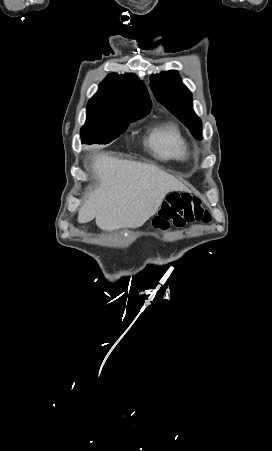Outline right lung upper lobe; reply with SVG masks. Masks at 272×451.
I'll list each match as a JSON object with an SVG mask.
<instances>
[{"instance_id": "cb5924a9", "label": "right lung upper lobe", "mask_w": 272, "mask_h": 451, "mask_svg": "<svg viewBox=\"0 0 272 451\" xmlns=\"http://www.w3.org/2000/svg\"><path fill=\"white\" fill-rule=\"evenodd\" d=\"M146 87L134 74H109L88 101V110H130L151 108Z\"/></svg>"}]
</instances>
